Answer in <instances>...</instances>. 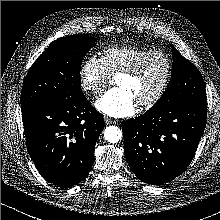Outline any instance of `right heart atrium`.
<instances>
[{
  "label": "right heart atrium",
  "mask_w": 220,
  "mask_h": 220,
  "mask_svg": "<svg viewBox=\"0 0 220 220\" xmlns=\"http://www.w3.org/2000/svg\"><path fill=\"white\" fill-rule=\"evenodd\" d=\"M109 80L110 75L100 57L91 55L80 67L79 82L81 89L85 93L92 96L100 95Z\"/></svg>",
  "instance_id": "d8ad5b80"
}]
</instances>
